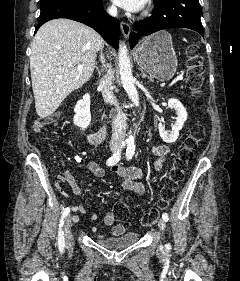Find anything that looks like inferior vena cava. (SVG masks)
<instances>
[{
    "label": "inferior vena cava",
    "mask_w": 240,
    "mask_h": 281,
    "mask_svg": "<svg viewBox=\"0 0 240 281\" xmlns=\"http://www.w3.org/2000/svg\"><path fill=\"white\" fill-rule=\"evenodd\" d=\"M110 15L117 16V8L112 6L108 9ZM114 79L112 66L108 64L106 74L101 78L99 87L106 103L115 104L116 98L112 91V81ZM112 119V137L111 144H120L123 142L126 134V116L122 109L116 106L110 111Z\"/></svg>",
    "instance_id": "602c4592"
}]
</instances>
